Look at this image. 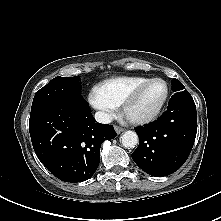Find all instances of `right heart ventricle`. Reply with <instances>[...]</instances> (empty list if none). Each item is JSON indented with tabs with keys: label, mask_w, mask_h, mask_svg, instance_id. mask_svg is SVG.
Returning <instances> with one entry per match:
<instances>
[{
	"label": "right heart ventricle",
	"mask_w": 221,
	"mask_h": 221,
	"mask_svg": "<svg viewBox=\"0 0 221 221\" xmlns=\"http://www.w3.org/2000/svg\"><path fill=\"white\" fill-rule=\"evenodd\" d=\"M145 77H117L104 81L99 88L117 106L123 105L125 99L142 83Z\"/></svg>",
	"instance_id": "right-heart-ventricle-1"
}]
</instances>
